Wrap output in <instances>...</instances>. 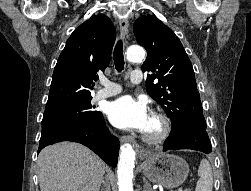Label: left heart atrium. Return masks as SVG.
I'll return each mask as SVG.
<instances>
[{
    "label": "left heart atrium",
    "mask_w": 251,
    "mask_h": 191,
    "mask_svg": "<svg viewBox=\"0 0 251 191\" xmlns=\"http://www.w3.org/2000/svg\"><path fill=\"white\" fill-rule=\"evenodd\" d=\"M106 115L114 126L123 130H145L150 120L146 104L128 96L110 102Z\"/></svg>",
    "instance_id": "left-heart-atrium-1"
}]
</instances>
